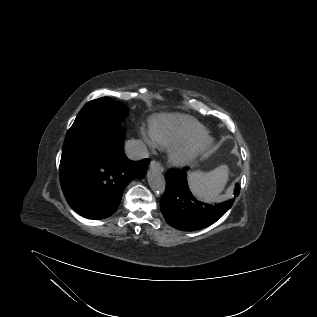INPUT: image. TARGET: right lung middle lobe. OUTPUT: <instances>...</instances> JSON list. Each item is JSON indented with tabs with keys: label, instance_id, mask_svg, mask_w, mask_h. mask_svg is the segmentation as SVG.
Returning <instances> with one entry per match:
<instances>
[{
	"label": "right lung middle lobe",
	"instance_id": "dd1d6c3e",
	"mask_svg": "<svg viewBox=\"0 0 317 317\" xmlns=\"http://www.w3.org/2000/svg\"><path fill=\"white\" fill-rule=\"evenodd\" d=\"M126 115L127 108L109 97L88 102L68 130L62 153L74 149L100 128L119 127V122L124 120Z\"/></svg>",
	"mask_w": 317,
	"mask_h": 317
}]
</instances>
